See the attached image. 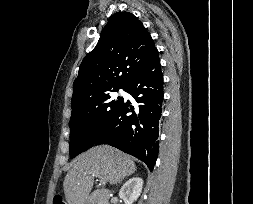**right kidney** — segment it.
<instances>
[{
    "label": "right kidney",
    "instance_id": "ca27d5eb",
    "mask_svg": "<svg viewBox=\"0 0 253 204\" xmlns=\"http://www.w3.org/2000/svg\"><path fill=\"white\" fill-rule=\"evenodd\" d=\"M143 179L133 177L129 179L120 189L119 197L124 200L125 204H133L142 192Z\"/></svg>",
    "mask_w": 253,
    "mask_h": 204
}]
</instances>
